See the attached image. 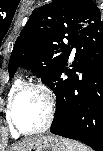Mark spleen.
<instances>
[{"mask_svg":"<svg viewBox=\"0 0 103 151\" xmlns=\"http://www.w3.org/2000/svg\"><path fill=\"white\" fill-rule=\"evenodd\" d=\"M63 143L66 146L67 151H91L87 146L67 138H62Z\"/></svg>","mask_w":103,"mask_h":151,"instance_id":"spleen-1","label":"spleen"}]
</instances>
